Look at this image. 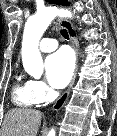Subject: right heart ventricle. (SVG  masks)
Wrapping results in <instances>:
<instances>
[{
	"label": "right heart ventricle",
	"instance_id": "1",
	"mask_svg": "<svg viewBox=\"0 0 117 136\" xmlns=\"http://www.w3.org/2000/svg\"><path fill=\"white\" fill-rule=\"evenodd\" d=\"M12 98L13 102L20 107H32L38 103L32 91L31 81H17L13 86Z\"/></svg>",
	"mask_w": 117,
	"mask_h": 136
}]
</instances>
